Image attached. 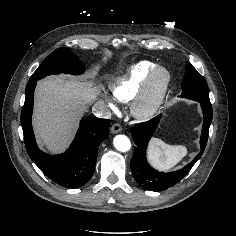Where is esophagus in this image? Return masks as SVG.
Wrapping results in <instances>:
<instances>
[{
	"mask_svg": "<svg viewBox=\"0 0 236 236\" xmlns=\"http://www.w3.org/2000/svg\"><path fill=\"white\" fill-rule=\"evenodd\" d=\"M122 131V126L119 123H115L112 127H111V132L113 134L119 133Z\"/></svg>",
	"mask_w": 236,
	"mask_h": 236,
	"instance_id": "esophagus-1",
	"label": "esophagus"
}]
</instances>
